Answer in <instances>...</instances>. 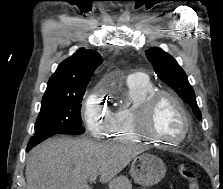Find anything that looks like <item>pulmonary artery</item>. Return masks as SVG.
Listing matches in <instances>:
<instances>
[{
    "label": "pulmonary artery",
    "instance_id": "pulmonary-artery-1",
    "mask_svg": "<svg viewBox=\"0 0 223 189\" xmlns=\"http://www.w3.org/2000/svg\"><path fill=\"white\" fill-rule=\"evenodd\" d=\"M147 80V77L144 73L142 72H136V73H133L131 74L129 77H128V83H132V84H135V83H143Z\"/></svg>",
    "mask_w": 223,
    "mask_h": 189
}]
</instances>
